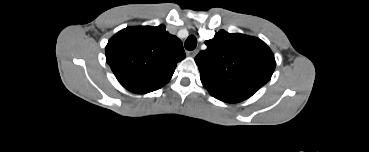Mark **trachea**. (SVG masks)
Segmentation results:
<instances>
[{
	"label": "trachea",
	"instance_id": "trachea-1",
	"mask_svg": "<svg viewBox=\"0 0 369 152\" xmlns=\"http://www.w3.org/2000/svg\"><path fill=\"white\" fill-rule=\"evenodd\" d=\"M184 46L187 50L192 51L197 46V39L194 35H191L187 38V40L184 43Z\"/></svg>",
	"mask_w": 369,
	"mask_h": 152
}]
</instances>
